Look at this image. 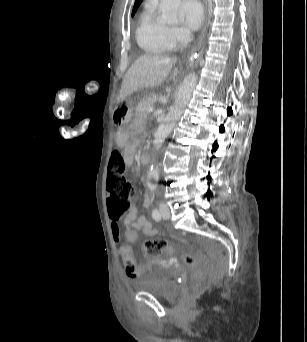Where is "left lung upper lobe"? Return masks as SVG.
I'll list each match as a JSON object with an SVG mask.
<instances>
[{"label": "left lung upper lobe", "mask_w": 307, "mask_h": 342, "mask_svg": "<svg viewBox=\"0 0 307 342\" xmlns=\"http://www.w3.org/2000/svg\"><path fill=\"white\" fill-rule=\"evenodd\" d=\"M142 1H143V0H136L135 5H134V8H133L132 16H133L134 13L136 12L138 6L140 5V3H141Z\"/></svg>", "instance_id": "obj_1"}]
</instances>
